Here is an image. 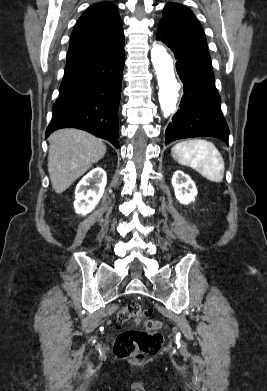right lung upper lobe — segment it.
I'll list each match as a JSON object with an SVG mask.
<instances>
[{
	"label": "right lung upper lobe",
	"mask_w": 267,
	"mask_h": 391,
	"mask_svg": "<svg viewBox=\"0 0 267 391\" xmlns=\"http://www.w3.org/2000/svg\"><path fill=\"white\" fill-rule=\"evenodd\" d=\"M122 46L124 34L117 7L111 2L93 4L72 31L66 67Z\"/></svg>",
	"instance_id": "cb5924a9"
}]
</instances>
